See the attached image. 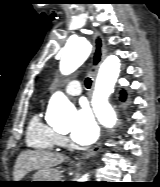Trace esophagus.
<instances>
[{"mask_svg":"<svg viewBox=\"0 0 160 187\" xmlns=\"http://www.w3.org/2000/svg\"><path fill=\"white\" fill-rule=\"evenodd\" d=\"M94 55L91 64V74L93 81L96 78L99 66L103 62L106 55V45L102 35L95 31L94 33ZM102 148V141H99L91 150L85 152L82 156L83 159H88L97 154Z\"/></svg>","mask_w":160,"mask_h":187,"instance_id":"esophagus-1","label":"esophagus"}]
</instances>
